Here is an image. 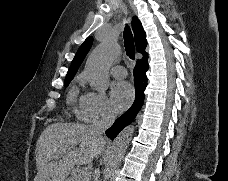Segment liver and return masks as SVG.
I'll use <instances>...</instances> for the list:
<instances>
[{
	"mask_svg": "<svg viewBox=\"0 0 228 181\" xmlns=\"http://www.w3.org/2000/svg\"><path fill=\"white\" fill-rule=\"evenodd\" d=\"M106 145V137L94 133L91 125L53 123L36 143L34 181H67L75 165H88Z\"/></svg>",
	"mask_w": 228,
	"mask_h": 181,
	"instance_id": "liver-1",
	"label": "liver"
}]
</instances>
